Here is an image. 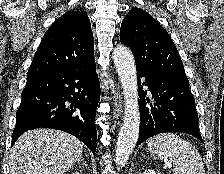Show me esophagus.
Returning a JSON list of instances; mask_svg holds the SVG:
<instances>
[{
	"label": "esophagus",
	"mask_w": 224,
	"mask_h": 174,
	"mask_svg": "<svg viewBox=\"0 0 224 174\" xmlns=\"http://www.w3.org/2000/svg\"><path fill=\"white\" fill-rule=\"evenodd\" d=\"M117 93H116V100H115V105H114V108H113V115L114 117H119V115L121 114L122 112V101H121V94L119 92V89H117Z\"/></svg>",
	"instance_id": "34e87169"
}]
</instances>
